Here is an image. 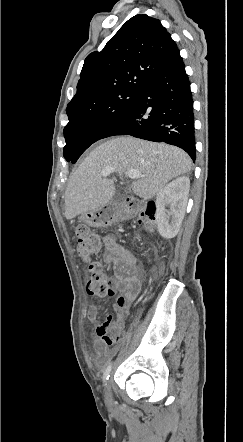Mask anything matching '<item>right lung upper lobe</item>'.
Returning <instances> with one entry per match:
<instances>
[{
  "label": "right lung upper lobe",
  "instance_id": "obj_1",
  "mask_svg": "<svg viewBox=\"0 0 243 442\" xmlns=\"http://www.w3.org/2000/svg\"><path fill=\"white\" fill-rule=\"evenodd\" d=\"M179 52L158 19L130 18L100 52L87 56L67 115L124 91H140L148 78Z\"/></svg>",
  "mask_w": 243,
  "mask_h": 442
}]
</instances>
